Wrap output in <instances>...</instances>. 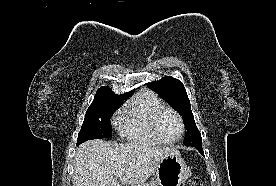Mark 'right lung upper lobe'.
Listing matches in <instances>:
<instances>
[{"instance_id":"right-lung-upper-lobe-1","label":"right lung upper lobe","mask_w":276,"mask_h":186,"mask_svg":"<svg viewBox=\"0 0 276 186\" xmlns=\"http://www.w3.org/2000/svg\"><path fill=\"white\" fill-rule=\"evenodd\" d=\"M101 93H113V91L110 88L101 87V88L98 89L96 94H101ZM132 93H133V91H130V92H127V93L121 94V95H131Z\"/></svg>"}]
</instances>
